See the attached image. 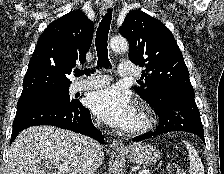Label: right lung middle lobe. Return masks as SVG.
Listing matches in <instances>:
<instances>
[{
	"label": "right lung middle lobe",
	"instance_id": "obj_1",
	"mask_svg": "<svg viewBox=\"0 0 224 174\" xmlns=\"http://www.w3.org/2000/svg\"><path fill=\"white\" fill-rule=\"evenodd\" d=\"M30 93H46V94L58 95L62 100H64L67 103L74 102V100H71L69 96V86L47 85L39 90Z\"/></svg>",
	"mask_w": 224,
	"mask_h": 174
}]
</instances>
